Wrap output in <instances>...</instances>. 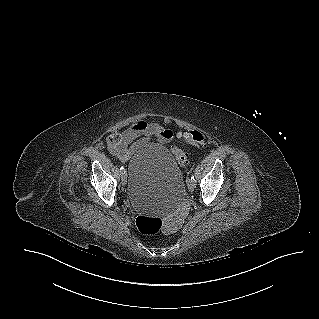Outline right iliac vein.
Wrapping results in <instances>:
<instances>
[{"instance_id":"obj_1","label":"right iliac vein","mask_w":319,"mask_h":319,"mask_svg":"<svg viewBox=\"0 0 319 319\" xmlns=\"http://www.w3.org/2000/svg\"><path fill=\"white\" fill-rule=\"evenodd\" d=\"M121 183H122V185H126L127 184V175H126V173H123L121 175Z\"/></svg>"}]
</instances>
